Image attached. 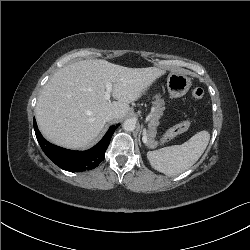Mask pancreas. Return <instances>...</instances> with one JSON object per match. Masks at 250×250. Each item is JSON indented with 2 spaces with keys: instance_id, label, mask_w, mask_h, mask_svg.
<instances>
[{
  "instance_id": "cf45deb5",
  "label": "pancreas",
  "mask_w": 250,
  "mask_h": 250,
  "mask_svg": "<svg viewBox=\"0 0 250 250\" xmlns=\"http://www.w3.org/2000/svg\"><path fill=\"white\" fill-rule=\"evenodd\" d=\"M155 100L153 101V111L152 115L150 117V122L148 124V145L149 146H156L157 142H155V136L157 133V125L159 124V119L163 114V111L165 110L164 107V100L161 98L160 95H156ZM174 134H171L170 132H167L165 134V139L172 138Z\"/></svg>"
}]
</instances>
